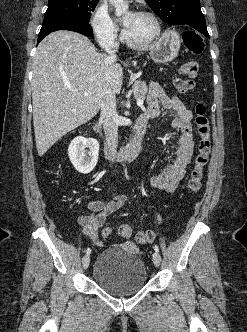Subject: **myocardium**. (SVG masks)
Segmentation results:
<instances>
[{"instance_id": "obj_1", "label": "myocardium", "mask_w": 247, "mask_h": 332, "mask_svg": "<svg viewBox=\"0 0 247 332\" xmlns=\"http://www.w3.org/2000/svg\"><path fill=\"white\" fill-rule=\"evenodd\" d=\"M136 14L139 15H143L146 16L148 18H150L153 22L154 25V29L153 32L151 33V35L149 37H147L146 39L142 40V41H132L127 35L125 30L122 32V41L129 47L133 48V49H142L145 48L147 46H149L151 43H153L161 34V23L158 19V17L151 11H147V10H140L138 12H136Z\"/></svg>"}]
</instances>
